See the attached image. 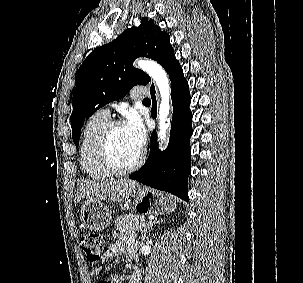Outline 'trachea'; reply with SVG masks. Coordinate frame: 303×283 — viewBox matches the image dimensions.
<instances>
[{
    "label": "trachea",
    "mask_w": 303,
    "mask_h": 283,
    "mask_svg": "<svg viewBox=\"0 0 303 283\" xmlns=\"http://www.w3.org/2000/svg\"><path fill=\"white\" fill-rule=\"evenodd\" d=\"M143 102H144V103L150 102V99H149V98H145V99L143 100Z\"/></svg>",
    "instance_id": "3493384b"
}]
</instances>
